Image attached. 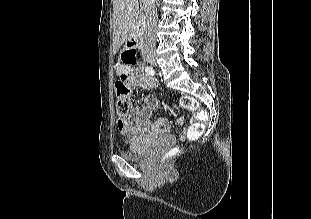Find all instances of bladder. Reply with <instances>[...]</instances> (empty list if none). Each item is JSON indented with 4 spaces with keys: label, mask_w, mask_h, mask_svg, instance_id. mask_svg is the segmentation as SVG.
<instances>
[{
    "label": "bladder",
    "mask_w": 311,
    "mask_h": 219,
    "mask_svg": "<svg viewBox=\"0 0 311 219\" xmlns=\"http://www.w3.org/2000/svg\"><path fill=\"white\" fill-rule=\"evenodd\" d=\"M151 152L149 145H141L140 143H131L127 150L120 152L121 156L127 160L139 161Z\"/></svg>",
    "instance_id": "31cf9c89"
}]
</instances>
